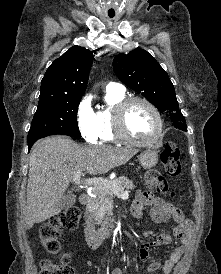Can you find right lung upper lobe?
<instances>
[{"mask_svg": "<svg viewBox=\"0 0 221 274\" xmlns=\"http://www.w3.org/2000/svg\"><path fill=\"white\" fill-rule=\"evenodd\" d=\"M94 58L90 50L73 46L47 69L39 99L76 98L85 92Z\"/></svg>", "mask_w": 221, "mask_h": 274, "instance_id": "right-lung-upper-lobe-1", "label": "right lung upper lobe"}]
</instances>
